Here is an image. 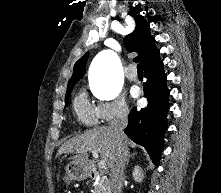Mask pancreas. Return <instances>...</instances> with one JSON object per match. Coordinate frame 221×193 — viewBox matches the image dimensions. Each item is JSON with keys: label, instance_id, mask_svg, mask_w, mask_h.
I'll return each mask as SVG.
<instances>
[{"label": "pancreas", "instance_id": "1", "mask_svg": "<svg viewBox=\"0 0 221 193\" xmlns=\"http://www.w3.org/2000/svg\"><path fill=\"white\" fill-rule=\"evenodd\" d=\"M93 193H107L106 186L101 180L96 183Z\"/></svg>", "mask_w": 221, "mask_h": 193}]
</instances>
